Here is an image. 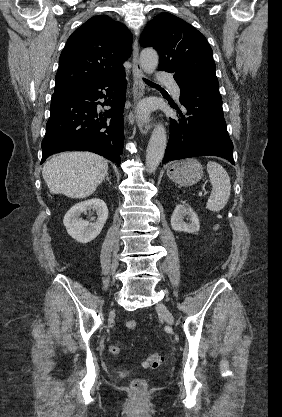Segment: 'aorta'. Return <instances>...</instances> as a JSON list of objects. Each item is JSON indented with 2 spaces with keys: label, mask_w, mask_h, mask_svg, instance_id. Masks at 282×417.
Returning <instances> with one entry per match:
<instances>
[{
  "label": "aorta",
  "mask_w": 282,
  "mask_h": 417,
  "mask_svg": "<svg viewBox=\"0 0 282 417\" xmlns=\"http://www.w3.org/2000/svg\"><path fill=\"white\" fill-rule=\"evenodd\" d=\"M159 62L158 52L154 48H143L140 54V64L142 70L147 74H152ZM167 144V134L163 124H156L152 130L151 138L146 150V170L154 172L159 166L165 152Z\"/></svg>",
  "instance_id": "1"
}]
</instances>
